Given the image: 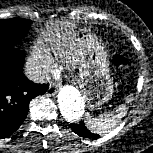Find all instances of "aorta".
Returning a JSON list of instances; mask_svg holds the SVG:
<instances>
[{"mask_svg":"<svg viewBox=\"0 0 153 153\" xmlns=\"http://www.w3.org/2000/svg\"><path fill=\"white\" fill-rule=\"evenodd\" d=\"M58 106L62 116L68 122H77L84 113V100L73 86H63L58 93Z\"/></svg>","mask_w":153,"mask_h":153,"instance_id":"obj_1","label":"aorta"}]
</instances>
